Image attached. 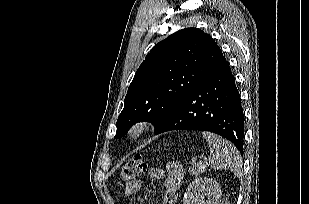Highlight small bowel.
<instances>
[{
	"label": "small bowel",
	"mask_w": 309,
	"mask_h": 204,
	"mask_svg": "<svg viewBox=\"0 0 309 204\" xmlns=\"http://www.w3.org/2000/svg\"><path fill=\"white\" fill-rule=\"evenodd\" d=\"M148 176L152 179H164L166 194L162 204H175L177 191L181 187L184 178V169L179 162L172 161L167 164L166 170L161 168H150ZM142 181L137 180L126 186L125 193L132 195L140 190Z\"/></svg>",
	"instance_id": "small-bowel-1"
}]
</instances>
